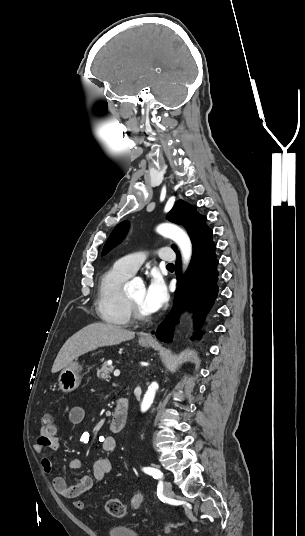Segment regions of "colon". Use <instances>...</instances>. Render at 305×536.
<instances>
[{
    "label": "colon",
    "instance_id": "colon-1",
    "mask_svg": "<svg viewBox=\"0 0 305 536\" xmlns=\"http://www.w3.org/2000/svg\"><path fill=\"white\" fill-rule=\"evenodd\" d=\"M42 423L44 426L49 427L53 423L52 416L50 414H45L42 418ZM71 504L73 506H76L78 511L81 513H84L87 511L86 506L87 504L84 502H80V499L78 497H73L71 499ZM145 504V497L142 493H135L131 499V506L134 509H139ZM105 511L117 518H121L126 515V507L122 503V501L118 498H110L105 503Z\"/></svg>",
    "mask_w": 305,
    "mask_h": 536
}]
</instances>
